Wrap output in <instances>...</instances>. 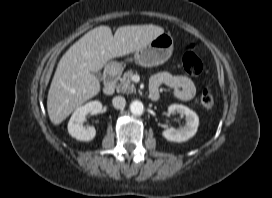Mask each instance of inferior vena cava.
<instances>
[{
    "instance_id": "obj_1",
    "label": "inferior vena cava",
    "mask_w": 272,
    "mask_h": 198,
    "mask_svg": "<svg viewBox=\"0 0 272 198\" xmlns=\"http://www.w3.org/2000/svg\"><path fill=\"white\" fill-rule=\"evenodd\" d=\"M112 104L116 109H122L126 105V100L122 96H116L113 98Z\"/></svg>"
}]
</instances>
